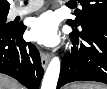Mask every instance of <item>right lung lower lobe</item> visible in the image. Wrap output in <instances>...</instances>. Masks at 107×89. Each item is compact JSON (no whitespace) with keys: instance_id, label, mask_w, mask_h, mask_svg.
Instances as JSON below:
<instances>
[{"instance_id":"1","label":"right lung lower lobe","mask_w":107,"mask_h":89,"mask_svg":"<svg viewBox=\"0 0 107 89\" xmlns=\"http://www.w3.org/2000/svg\"><path fill=\"white\" fill-rule=\"evenodd\" d=\"M25 27H0V73L7 74L29 89H38L44 70L38 50L25 42Z\"/></svg>"}]
</instances>
